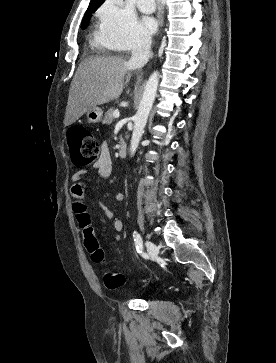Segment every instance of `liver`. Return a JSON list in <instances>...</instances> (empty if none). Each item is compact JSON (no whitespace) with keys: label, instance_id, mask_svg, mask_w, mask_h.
<instances>
[{"label":"liver","instance_id":"obj_1","mask_svg":"<svg viewBox=\"0 0 276 363\" xmlns=\"http://www.w3.org/2000/svg\"><path fill=\"white\" fill-rule=\"evenodd\" d=\"M134 69L122 56L84 59L71 82L64 125H71L97 105L119 98L124 85L130 81L131 74L128 72Z\"/></svg>","mask_w":276,"mask_h":363}]
</instances>
